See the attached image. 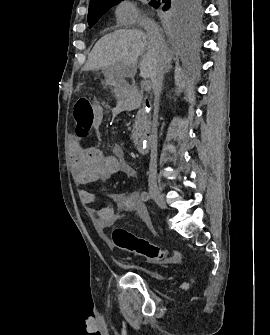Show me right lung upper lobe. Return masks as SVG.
<instances>
[{
  "mask_svg": "<svg viewBox=\"0 0 270 335\" xmlns=\"http://www.w3.org/2000/svg\"><path fill=\"white\" fill-rule=\"evenodd\" d=\"M119 0H90V5L89 6H98L102 5L105 3H115Z\"/></svg>",
  "mask_w": 270,
  "mask_h": 335,
  "instance_id": "obj_1",
  "label": "right lung upper lobe"
}]
</instances>
